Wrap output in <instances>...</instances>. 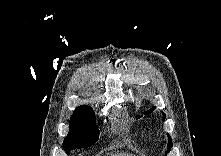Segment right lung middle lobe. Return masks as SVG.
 <instances>
[{
    "instance_id": "dd1d6c3e",
    "label": "right lung middle lobe",
    "mask_w": 221,
    "mask_h": 156,
    "mask_svg": "<svg viewBox=\"0 0 221 156\" xmlns=\"http://www.w3.org/2000/svg\"><path fill=\"white\" fill-rule=\"evenodd\" d=\"M99 134L92 110L76 109L70 120L69 133L63 142L64 150L69 153L72 149L91 146L98 141Z\"/></svg>"
}]
</instances>
